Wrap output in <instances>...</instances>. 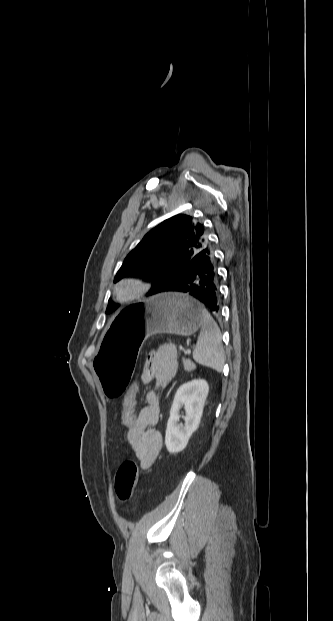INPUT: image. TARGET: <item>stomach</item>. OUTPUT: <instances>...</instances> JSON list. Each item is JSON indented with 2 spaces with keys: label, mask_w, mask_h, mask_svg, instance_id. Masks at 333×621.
<instances>
[{
  "label": "stomach",
  "mask_w": 333,
  "mask_h": 621,
  "mask_svg": "<svg viewBox=\"0 0 333 621\" xmlns=\"http://www.w3.org/2000/svg\"><path fill=\"white\" fill-rule=\"evenodd\" d=\"M206 310L195 299L181 293H163L132 304L115 316L103 333L96 373L108 402L124 400L135 372L144 340L153 334H194Z\"/></svg>",
  "instance_id": "1"
}]
</instances>
